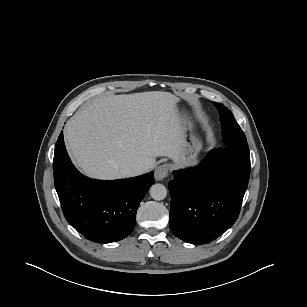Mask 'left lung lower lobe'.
I'll return each mask as SVG.
<instances>
[{
	"mask_svg": "<svg viewBox=\"0 0 307 307\" xmlns=\"http://www.w3.org/2000/svg\"><path fill=\"white\" fill-rule=\"evenodd\" d=\"M169 182L173 234L192 244L209 243L237 220L250 175V153L211 150L202 164L173 172Z\"/></svg>",
	"mask_w": 307,
	"mask_h": 307,
	"instance_id": "obj_1",
	"label": "left lung lower lobe"
}]
</instances>
